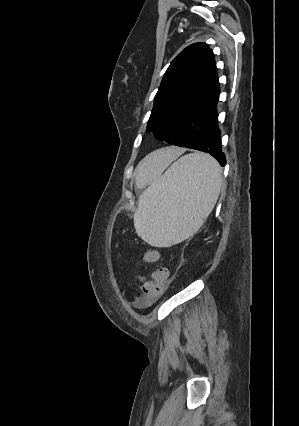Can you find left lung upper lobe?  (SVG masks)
Segmentation results:
<instances>
[{"mask_svg": "<svg viewBox=\"0 0 299 426\" xmlns=\"http://www.w3.org/2000/svg\"><path fill=\"white\" fill-rule=\"evenodd\" d=\"M218 92L213 52L205 43L186 47L165 72L146 131L171 143L193 114Z\"/></svg>", "mask_w": 299, "mask_h": 426, "instance_id": "left-lung-upper-lobe-1", "label": "left lung upper lobe"}]
</instances>
